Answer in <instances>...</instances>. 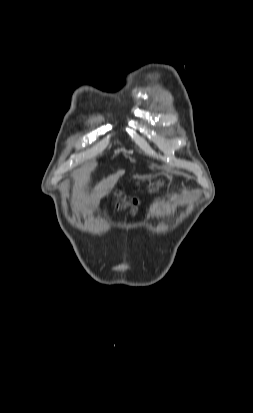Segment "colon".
Returning a JSON list of instances; mask_svg holds the SVG:
<instances>
[{"instance_id":"obj_1","label":"colon","mask_w":253,"mask_h":413,"mask_svg":"<svg viewBox=\"0 0 253 413\" xmlns=\"http://www.w3.org/2000/svg\"><path fill=\"white\" fill-rule=\"evenodd\" d=\"M117 206L125 207L129 209L131 213H135L139 207V203L136 199L119 197L117 200Z\"/></svg>"}]
</instances>
